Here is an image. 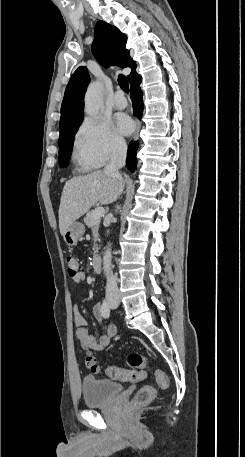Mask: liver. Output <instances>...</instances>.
I'll use <instances>...</instances> for the list:
<instances>
[{
  "label": "liver",
  "mask_w": 245,
  "mask_h": 457,
  "mask_svg": "<svg viewBox=\"0 0 245 457\" xmlns=\"http://www.w3.org/2000/svg\"><path fill=\"white\" fill-rule=\"evenodd\" d=\"M122 190V180L113 178L103 170H95V172L83 174V176H73L67 180L62 190L59 206L61 235L68 231L72 222L88 212L97 200L101 204H109V202L116 200Z\"/></svg>",
  "instance_id": "liver-1"
}]
</instances>
